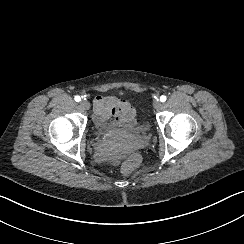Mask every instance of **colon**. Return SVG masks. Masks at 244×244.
<instances>
[{"instance_id": "5ec220e1", "label": "colon", "mask_w": 244, "mask_h": 244, "mask_svg": "<svg viewBox=\"0 0 244 244\" xmlns=\"http://www.w3.org/2000/svg\"><path fill=\"white\" fill-rule=\"evenodd\" d=\"M121 167H122L123 174L126 175V176H132L138 170L137 165L134 164L133 161L130 160V159L123 160L122 163H121Z\"/></svg>"}]
</instances>
